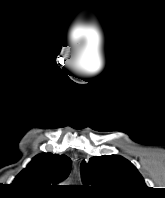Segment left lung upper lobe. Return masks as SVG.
Instances as JSON below:
<instances>
[{
    "label": "left lung upper lobe",
    "instance_id": "obj_1",
    "mask_svg": "<svg viewBox=\"0 0 165 198\" xmlns=\"http://www.w3.org/2000/svg\"><path fill=\"white\" fill-rule=\"evenodd\" d=\"M81 174L83 182L102 198H138L148 189L136 167L119 155L83 161Z\"/></svg>",
    "mask_w": 165,
    "mask_h": 198
}]
</instances>
